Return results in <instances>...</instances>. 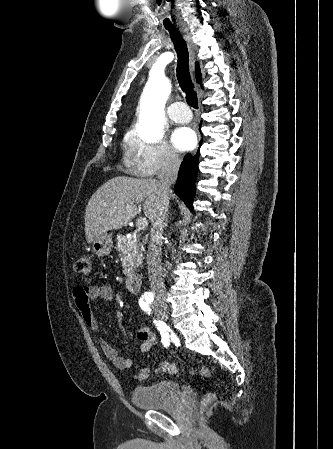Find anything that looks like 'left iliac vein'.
I'll use <instances>...</instances> for the list:
<instances>
[{"label": "left iliac vein", "mask_w": 333, "mask_h": 449, "mask_svg": "<svg viewBox=\"0 0 333 449\" xmlns=\"http://www.w3.org/2000/svg\"><path fill=\"white\" fill-rule=\"evenodd\" d=\"M158 317L162 318L163 320L167 319V313L165 310H158L157 308L154 309Z\"/></svg>", "instance_id": "4c4485c4"}]
</instances>
